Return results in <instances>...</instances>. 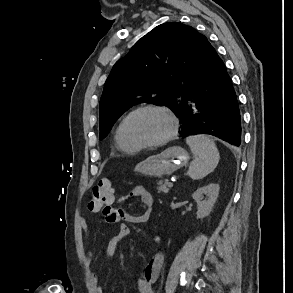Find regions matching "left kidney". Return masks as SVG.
I'll return each instance as SVG.
<instances>
[{"mask_svg":"<svg viewBox=\"0 0 293 293\" xmlns=\"http://www.w3.org/2000/svg\"><path fill=\"white\" fill-rule=\"evenodd\" d=\"M219 190L218 184L210 183L193 193L192 197L197 203V219H203L211 213L218 198Z\"/></svg>","mask_w":293,"mask_h":293,"instance_id":"obj_1","label":"left kidney"}]
</instances>
